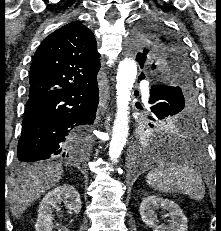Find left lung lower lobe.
<instances>
[{"label":"left lung lower lobe","instance_id":"obj_1","mask_svg":"<svg viewBox=\"0 0 221 231\" xmlns=\"http://www.w3.org/2000/svg\"><path fill=\"white\" fill-rule=\"evenodd\" d=\"M143 79V77H139ZM167 89L158 85L151 86L149 104L157 103L163 100V96L167 93ZM199 125L195 119L187 120L178 125L177 130H171L169 133H163L155 139L150 148L132 150V157L143 161H153L160 158L164 152L157 147L159 144H164L172 148L174 151H182V158L188 160L196 157V147L199 146Z\"/></svg>","mask_w":221,"mask_h":231}]
</instances>
